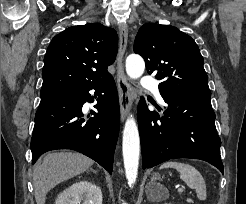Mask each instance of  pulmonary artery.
<instances>
[{"mask_svg":"<svg viewBox=\"0 0 246 204\" xmlns=\"http://www.w3.org/2000/svg\"><path fill=\"white\" fill-rule=\"evenodd\" d=\"M141 86L146 90L152 91L155 94L158 101L163 102V98L159 93L158 83L155 79H153L150 76H145L142 78Z\"/></svg>","mask_w":246,"mask_h":204,"instance_id":"pulmonary-artery-1","label":"pulmonary artery"}]
</instances>
